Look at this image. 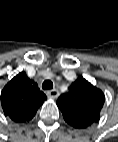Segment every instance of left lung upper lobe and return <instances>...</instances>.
I'll return each instance as SVG.
<instances>
[{
    "instance_id": "obj_1",
    "label": "left lung upper lobe",
    "mask_w": 118,
    "mask_h": 142,
    "mask_svg": "<svg viewBox=\"0 0 118 142\" xmlns=\"http://www.w3.org/2000/svg\"><path fill=\"white\" fill-rule=\"evenodd\" d=\"M104 101L103 92L80 76L69 92L58 98L57 106L69 125L84 129L99 121Z\"/></svg>"
}]
</instances>
